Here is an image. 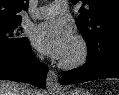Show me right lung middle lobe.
Wrapping results in <instances>:
<instances>
[{
	"label": "right lung middle lobe",
	"mask_w": 119,
	"mask_h": 95,
	"mask_svg": "<svg viewBox=\"0 0 119 95\" xmlns=\"http://www.w3.org/2000/svg\"><path fill=\"white\" fill-rule=\"evenodd\" d=\"M20 24L21 22L0 25V47L18 45L26 40V37H22L17 29Z\"/></svg>",
	"instance_id": "right-lung-middle-lobe-1"
}]
</instances>
